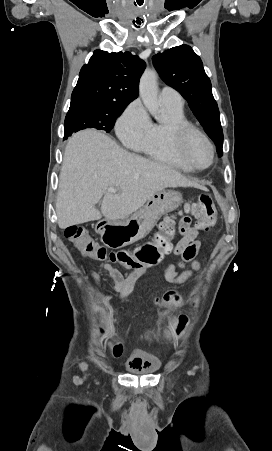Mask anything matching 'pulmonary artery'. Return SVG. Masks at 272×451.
Here are the masks:
<instances>
[{"label":"pulmonary artery","instance_id":"1","mask_svg":"<svg viewBox=\"0 0 272 451\" xmlns=\"http://www.w3.org/2000/svg\"><path fill=\"white\" fill-rule=\"evenodd\" d=\"M160 100L177 110H182L184 105V101L181 95L177 91L168 87H164L160 91Z\"/></svg>","mask_w":272,"mask_h":451}]
</instances>
